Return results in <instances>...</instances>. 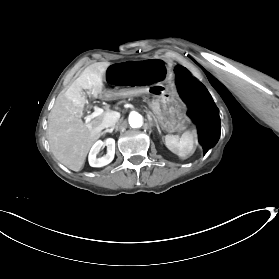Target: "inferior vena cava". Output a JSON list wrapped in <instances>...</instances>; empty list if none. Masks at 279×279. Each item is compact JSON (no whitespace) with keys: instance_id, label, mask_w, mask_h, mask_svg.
Returning a JSON list of instances; mask_svg holds the SVG:
<instances>
[{"instance_id":"1","label":"inferior vena cava","mask_w":279,"mask_h":279,"mask_svg":"<svg viewBox=\"0 0 279 279\" xmlns=\"http://www.w3.org/2000/svg\"><path fill=\"white\" fill-rule=\"evenodd\" d=\"M119 113L117 112H108L106 114H104V118L102 121V124L104 126V128H108V127H114L115 123L118 122L119 119Z\"/></svg>"}]
</instances>
